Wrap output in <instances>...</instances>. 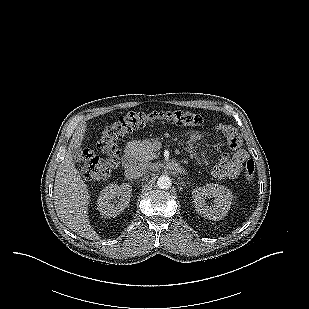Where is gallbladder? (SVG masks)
I'll list each match as a JSON object with an SVG mask.
<instances>
[{
  "label": "gallbladder",
  "instance_id": "1",
  "mask_svg": "<svg viewBox=\"0 0 309 309\" xmlns=\"http://www.w3.org/2000/svg\"><path fill=\"white\" fill-rule=\"evenodd\" d=\"M71 156L74 162H80L83 158L81 149L80 148L72 149Z\"/></svg>",
  "mask_w": 309,
  "mask_h": 309
}]
</instances>
